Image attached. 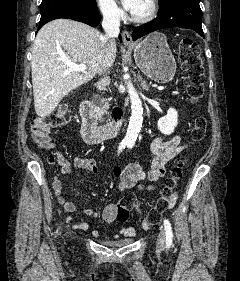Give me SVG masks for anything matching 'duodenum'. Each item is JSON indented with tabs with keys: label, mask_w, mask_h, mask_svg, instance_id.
Listing matches in <instances>:
<instances>
[{
	"label": "duodenum",
	"mask_w": 240,
	"mask_h": 281,
	"mask_svg": "<svg viewBox=\"0 0 240 281\" xmlns=\"http://www.w3.org/2000/svg\"><path fill=\"white\" fill-rule=\"evenodd\" d=\"M82 116L81 134L87 144H98L106 139L116 136L123 127V114L118 111L113 119L101 126L97 125L91 103L84 100L80 104Z\"/></svg>",
	"instance_id": "duodenum-1"
}]
</instances>
